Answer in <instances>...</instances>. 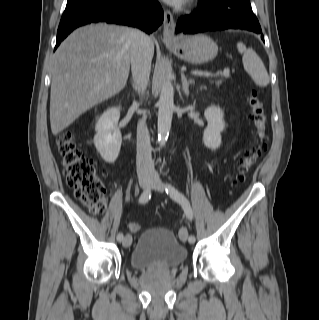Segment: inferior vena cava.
I'll return each mask as SVG.
<instances>
[{
	"mask_svg": "<svg viewBox=\"0 0 319 320\" xmlns=\"http://www.w3.org/2000/svg\"><path fill=\"white\" fill-rule=\"evenodd\" d=\"M131 71L135 82V89L144 94L149 81L152 56L150 53L151 39L147 34L131 29ZM137 173L139 176L152 175L154 163L151 155V144L146 119H141L137 125Z\"/></svg>",
	"mask_w": 319,
	"mask_h": 320,
	"instance_id": "602c4592",
	"label": "inferior vena cava"
}]
</instances>
